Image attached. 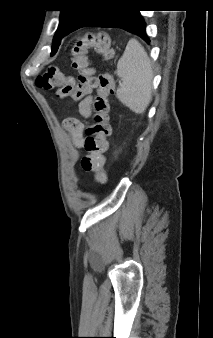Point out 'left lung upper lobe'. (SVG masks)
<instances>
[{
	"instance_id": "obj_1",
	"label": "left lung upper lobe",
	"mask_w": 213,
	"mask_h": 338,
	"mask_svg": "<svg viewBox=\"0 0 213 338\" xmlns=\"http://www.w3.org/2000/svg\"><path fill=\"white\" fill-rule=\"evenodd\" d=\"M102 1L103 0H67L69 7L61 11L60 23L53 39L52 56L57 52L62 38L70 32L71 26L88 11L89 6Z\"/></svg>"
}]
</instances>
